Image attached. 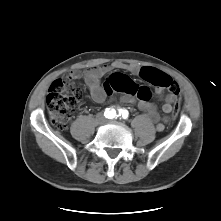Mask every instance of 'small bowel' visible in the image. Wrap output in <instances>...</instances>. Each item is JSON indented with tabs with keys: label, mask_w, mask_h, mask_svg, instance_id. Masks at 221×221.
Instances as JSON below:
<instances>
[{
	"label": "small bowel",
	"mask_w": 221,
	"mask_h": 221,
	"mask_svg": "<svg viewBox=\"0 0 221 221\" xmlns=\"http://www.w3.org/2000/svg\"><path fill=\"white\" fill-rule=\"evenodd\" d=\"M113 70H127L132 73L140 72V69L135 65L114 62L108 65L94 67L82 73L71 72L69 76L74 79H84L90 95L96 103H103L105 101L109 94L108 90L121 92L122 95L120 99L125 103H135L138 101V108L150 121L158 123V131L163 130L164 123L168 121V115L173 111V104L178 102L180 98H177L171 93L165 94V88L157 86L156 95L163 101L162 111L164 116L161 117L157 112L156 106L152 102L148 100H140L136 96L131 95L122 89V87L133 83L129 76L119 72L113 73L109 76L106 84L103 86L101 84V79Z\"/></svg>",
	"instance_id": "obj_1"
}]
</instances>
